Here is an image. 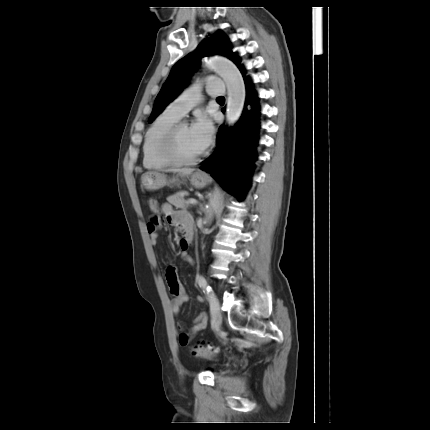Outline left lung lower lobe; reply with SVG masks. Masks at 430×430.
Wrapping results in <instances>:
<instances>
[{
  "label": "left lung lower lobe",
  "mask_w": 430,
  "mask_h": 430,
  "mask_svg": "<svg viewBox=\"0 0 430 430\" xmlns=\"http://www.w3.org/2000/svg\"><path fill=\"white\" fill-rule=\"evenodd\" d=\"M244 76V72H242ZM246 85V102L243 114L234 128H221L217 139L216 151L205 160L202 170L210 173L220 185L242 200L244 190L240 185H247L255 159L254 147L257 142L259 107L255 103L256 93L248 77ZM252 105V110L246 106Z\"/></svg>",
  "instance_id": "left-lung-lower-lobe-1"
}]
</instances>
